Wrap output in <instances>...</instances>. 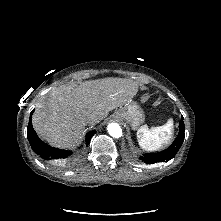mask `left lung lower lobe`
<instances>
[{"label":"left lung lower lobe","mask_w":221,"mask_h":221,"mask_svg":"<svg viewBox=\"0 0 221 221\" xmlns=\"http://www.w3.org/2000/svg\"><path fill=\"white\" fill-rule=\"evenodd\" d=\"M179 128H180L179 134L169 148L158 153L144 154L143 156L140 157V160H142L146 164H154V163L163 162V161L168 162L169 160H171L180 149L184 140L183 120H181L179 124Z\"/></svg>","instance_id":"0a47b994"}]
</instances>
